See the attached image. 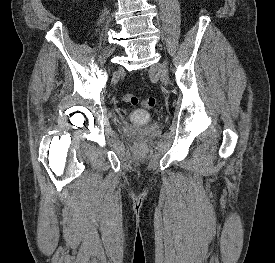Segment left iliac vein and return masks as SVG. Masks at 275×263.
Here are the masks:
<instances>
[{
  "instance_id": "obj_1",
  "label": "left iliac vein",
  "mask_w": 275,
  "mask_h": 263,
  "mask_svg": "<svg viewBox=\"0 0 275 263\" xmlns=\"http://www.w3.org/2000/svg\"><path fill=\"white\" fill-rule=\"evenodd\" d=\"M151 70L158 73L159 77L161 78V81L164 84L168 83V73H167V69L164 64L158 63V64L154 65L151 68Z\"/></svg>"
}]
</instances>
